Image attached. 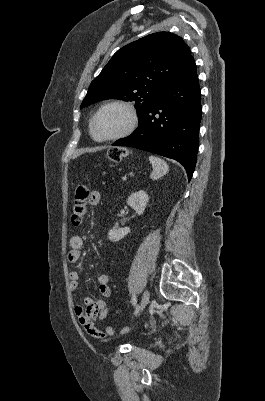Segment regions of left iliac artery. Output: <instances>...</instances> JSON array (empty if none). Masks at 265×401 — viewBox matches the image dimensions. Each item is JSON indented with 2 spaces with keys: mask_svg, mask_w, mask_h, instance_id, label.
Returning a JSON list of instances; mask_svg holds the SVG:
<instances>
[{
  "mask_svg": "<svg viewBox=\"0 0 265 401\" xmlns=\"http://www.w3.org/2000/svg\"><path fill=\"white\" fill-rule=\"evenodd\" d=\"M137 303V298L135 296V294L132 296V304L135 306Z\"/></svg>",
  "mask_w": 265,
  "mask_h": 401,
  "instance_id": "44dca946",
  "label": "left iliac artery"
}]
</instances>
